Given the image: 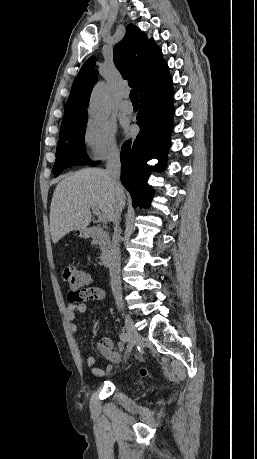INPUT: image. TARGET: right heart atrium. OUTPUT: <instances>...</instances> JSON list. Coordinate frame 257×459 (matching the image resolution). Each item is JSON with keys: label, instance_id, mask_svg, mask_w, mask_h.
Returning a JSON list of instances; mask_svg holds the SVG:
<instances>
[{"label": "right heart atrium", "instance_id": "obj_1", "mask_svg": "<svg viewBox=\"0 0 257 459\" xmlns=\"http://www.w3.org/2000/svg\"><path fill=\"white\" fill-rule=\"evenodd\" d=\"M83 142L92 161L113 158L119 152L116 128L107 121L89 120L83 131Z\"/></svg>", "mask_w": 257, "mask_h": 459}]
</instances>
